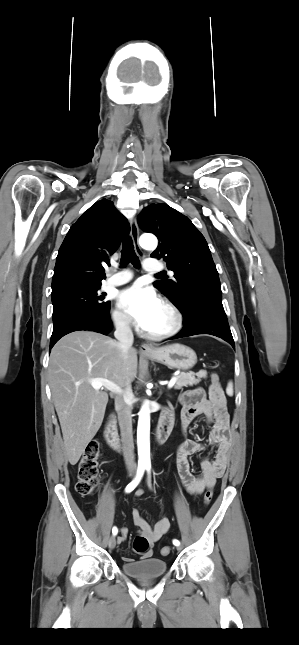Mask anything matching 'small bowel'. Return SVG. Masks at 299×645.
<instances>
[{
	"mask_svg": "<svg viewBox=\"0 0 299 645\" xmlns=\"http://www.w3.org/2000/svg\"><path fill=\"white\" fill-rule=\"evenodd\" d=\"M180 402L184 433H187L192 421L200 415H203L206 421L212 424L207 445L215 449V455L212 459L208 456L202 457L199 461L198 472L192 470L189 458L191 455L201 452L204 449L203 444L186 438L176 454L177 471L185 489L191 495H200L206 489L212 488L216 480L223 476L229 461L232 439L229 430L227 401L221 389L218 391L210 389L209 395L206 396L202 388H196L184 392ZM142 494V490H138L136 497H141ZM132 519L134 525L139 529L140 535L145 537L149 543L148 550L141 554L142 559L150 558L153 554L152 547L168 532L170 520L168 517H161L152 527L142 517L138 509L133 510ZM127 536L128 529L121 528L120 542L125 541ZM123 560L132 561V558L125 556Z\"/></svg>",
	"mask_w": 299,
	"mask_h": 645,
	"instance_id": "obj_1",
	"label": "small bowel"
}]
</instances>
